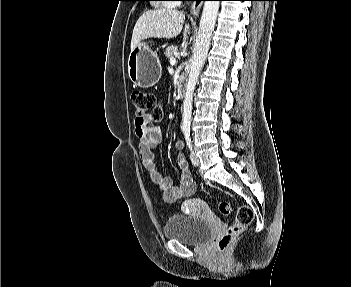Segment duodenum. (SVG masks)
I'll return each instance as SVG.
<instances>
[{
  "instance_id": "1",
  "label": "duodenum",
  "mask_w": 351,
  "mask_h": 287,
  "mask_svg": "<svg viewBox=\"0 0 351 287\" xmlns=\"http://www.w3.org/2000/svg\"><path fill=\"white\" fill-rule=\"evenodd\" d=\"M178 97L181 98L183 96V92H184V86L181 83L180 86L178 87Z\"/></svg>"
}]
</instances>
